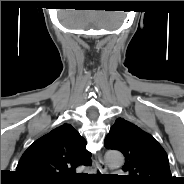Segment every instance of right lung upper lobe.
Returning a JSON list of instances; mask_svg holds the SVG:
<instances>
[{
    "label": "right lung upper lobe",
    "instance_id": "obj_1",
    "mask_svg": "<svg viewBox=\"0 0 184 184\" xmlns=\"http://www.w3.org/2000/svg\"><path fill=\"white\" fill-rule=\"evenodd\" d=\"M86 141L70 124H63L36 140L22 155L16 172L25 181L57 184L73 180L75 169L91 165Z\"/></svg>",
    "mask_w": 184,
    "mask_h": 184
}]
</instances>
